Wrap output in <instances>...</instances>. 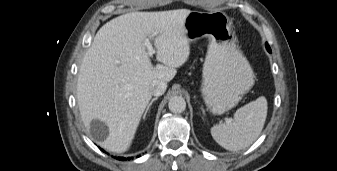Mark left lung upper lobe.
Segmentation results:
<instances>
[{
    "label": "left lung upper lobe",
    "instance_id": "5c2ea615",
    "mask_svg": "<svg viewBox=\"0 0 337 171\" xmlns=\"http://www.w3.org/2000/svg\"><path fill=\"white\" fill-rule=\"evenodd\" d=\"M266 48H267V50L269 51V52H271V49H270V47H269V45L266 43Z\"/></svg>",
    "mask_w": 337,
    "mask_h": 171
}]
</instances>
